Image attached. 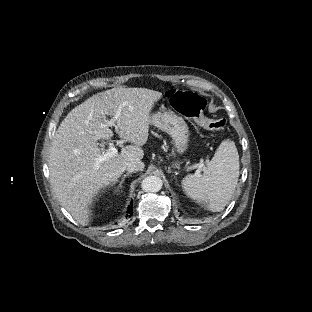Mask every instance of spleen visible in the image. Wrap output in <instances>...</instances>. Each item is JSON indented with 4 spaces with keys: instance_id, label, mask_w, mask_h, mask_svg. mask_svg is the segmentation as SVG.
<instances>
[{
    "instance_id": "obj_1",
    "label": "spleen",
    "mask_w": 312,
    "mask_h": 312,
    "mask_svg": "<svg viewBox=\"0 0 312 312\" xmlns=\"http://www.w3.org/2000/svg\"><path fill=\"white\" fill-rule=\"evenodd\" d=\"M239 177V155L235 143L222 141L203 174L188 175L182 180L186 195L211 211L222 210L230 201Z\"/></svg>"
}]
</instances>
